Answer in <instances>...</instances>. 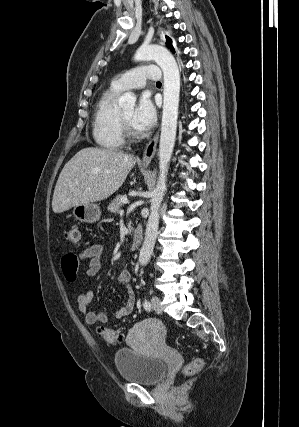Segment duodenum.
<instances>
[{
    "mask_svg": "<svg viewBox=\"0 0 299 427\" xmlns=\"http://www.w3.org/2000/svg\"><path fill=\"white\" fill-rule=\"evenodd\" d=\"M142 242V230L140 227H137L133 234V241L130 247V251H136Z\"/></svg>",
    "mask_w": 299,
    "mask_h": 427,
    "instance_id": "duodenum-1",
    "label": "duodenum"
}]
</instances>
